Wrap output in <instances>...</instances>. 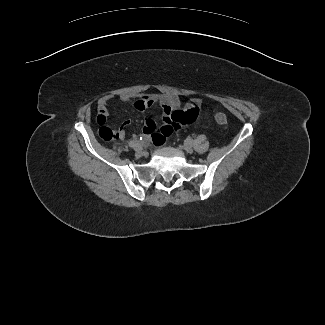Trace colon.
<instances>
[{
    "label": "colon",
    "instance_id": "obj_1",
    "mask_svg": "<svg viewBox=\"0 0 325 325\" xmlns=\"http://www.w3.org/2000/svg\"><path fill=\"white\" fill-rule=\"evenodd\" d=\"M215 119L221 125L226 126L228 124L227 117L221 112H217L215 114ZM99 136L102 139L109 141V140L118 138L119 131H118V129H111L109 127H101L99 130Z\"/></svg>",
    "mask_w": 325,
    "mask_h": 325
}]
</instances>
